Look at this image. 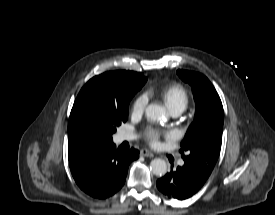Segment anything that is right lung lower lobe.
Returning a JSON list of instances; mask_svg holds the SVG:
<instances>
[{
    "mask_svg": "<svg viewBox=\"0 0 275 215\" xmlns=\"http://www.w3.org/2000/svg\"><path fill=\"white\" fill-rule=\"evenodd\" d=\"M138 157V150L119 152L112 141L68 148L75 182L85 193L98 199L110 197L121 189L129 164Z\"/></svg>",
    "mask_w": 275,
    "mask_h": 215,
    "instance_id": "1",
    "label": "right lung lower lobe"
}]
</instances>
